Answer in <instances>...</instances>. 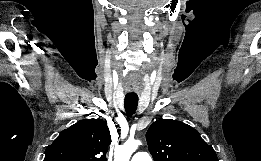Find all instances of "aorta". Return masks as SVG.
I'll list each match as a JSON object with an SVG mask.
<instances>
[{
	"instance_id": "762f6f07",
	"label": "aorta",
	"mask_w": 261,
	"mask_h": 161,
	"mask_svg": "<svg viewBox=\"0 0 261 161\" xmlns=\"http://www.w3.org/2000/svg\"><path fill=\"white\" fill-rule=\"evenodd\" d=\"M141 144L139 140H128L125 144L115 148L114 161H129L131 155Z\"/></svg>"
}]
</instances>
